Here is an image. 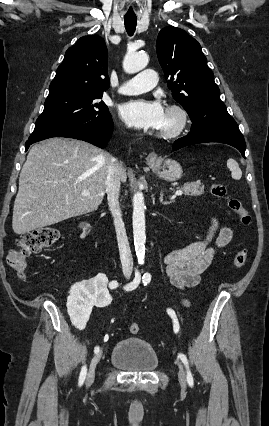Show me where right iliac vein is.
Masks as SVG:
<instances>
[{
    "mask_svg": "<svg viewBox=\"0 0 269 426\" xmlns=\"http://www.w3.org/2000/svg\"><path fill=\"white\" fill-rule=\"evenodd\" d=\"M101 357H102V350H99V352H97L95 354V356L93 357V359L91 360L89 370H88V373H87V378H86V386L87 387L91 386L93 381H94L95 369H96V366L99 363Z\"/></svg>",
    "mask_w": 269,
    "mask_h": 426,
    "instance_id": "obj_1",
    "label": "right iliac vein"
}]
</instances>
